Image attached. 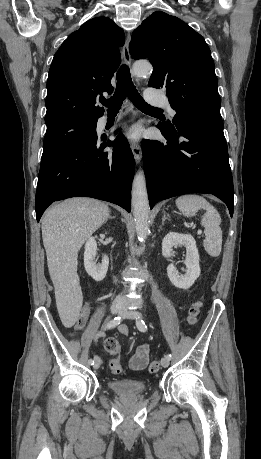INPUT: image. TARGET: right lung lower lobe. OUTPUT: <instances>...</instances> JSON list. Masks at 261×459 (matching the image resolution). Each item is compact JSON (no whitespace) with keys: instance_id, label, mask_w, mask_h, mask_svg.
<instances>
[{"instance_id":"right-lung-lower-lobe-1","label":"right lung lower lobe","mask_w":261,"mask_h":459,"mask_svg":"<svg viewBox=\"0 0 261 459\" xmlns=\"http://www.w3.org/2000/svg\"><path fill=\"white\" fill-rule=\"evenodd\" d=\"M96 139L41 163L36 192V219L54 201L85 196L131 208L134 158L126 138ZM113 146V152L104 151Z\"/></svg>"}]
</instances>
